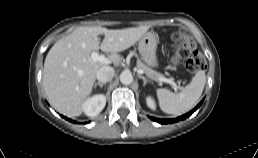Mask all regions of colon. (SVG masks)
Returning <instances> with one entry per match:
<instances>
[{
	"mask_svg": "<svg viewBox=\"0 0 258 158\" xmlns=\"http://www.w3.org/2000/svg\"><path fill=\"white\" fill-rule=\"evenodd\" d=\"M175 42V52L171 58V64L177 66L184 64L190 73L205 70L206 61L195 47L193 39L183 31H177L172 35Z\"/></svg>",
	"mask_w": 258,
	"mask_h": 158,
	"instance_id": "colon-1",
	"label": "colon"
}]
</instances>
